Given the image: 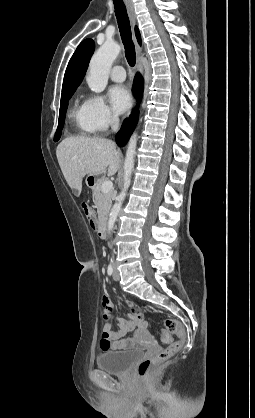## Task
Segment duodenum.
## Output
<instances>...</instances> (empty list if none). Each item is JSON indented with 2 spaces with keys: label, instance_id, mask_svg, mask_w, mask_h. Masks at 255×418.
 Wrapping results in <instances>:
<instances>
[{
  "label": "duodenum",
  "instance_id": "duodenum-1",
  "mask_svg": "<svg viewBox=\"0 0 255 418\" xmlns=\"http://www.w3.org/2000/svg\"><path fill=\"white\" fill-rule=\"evenodd\" d=\"M107 233V219L102 217L97 226V234L100 238H105Z\"/></svg>",
  "mask_w": 255,
  "mask_h": 418
}]
</instances>
